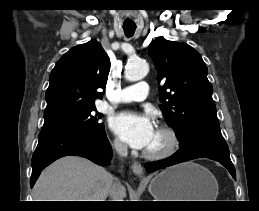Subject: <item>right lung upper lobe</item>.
Here are the masks:
<instances>
[{
	"instance_id": "1",
	"label": "right lung upper lobe",
	"mask_w": 259,
	"mask_h": 211,
	"mask_svg": "<svg viewBox=\"0 0 259 211\" xmlns=\"http://www.w3.org/2000/svg\"><path fill=\"white\" fill-rule=\"evenodd\" d=\"M109 70V58L98 41L71 48L50 74L44 123L95 107V99H102L98 90L105 88Z\"/></svg>"
}]
</instances>
